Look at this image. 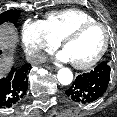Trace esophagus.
<instances>
[{"instance_id": "34e87169", "label": "esophagus", "mask_w": 117, "mask_h": 117, "mask_svg": "<svg viewBox=\"0 0 117 117\" xmlns=\"http://www.w3.org/2000/svg\"><path fill=\"white\" fill-rule=\"evenodd\" d=\"M46 68L50 71H56L58 70V67H54V66H46Z\"/></svg>"}]
</instances>
